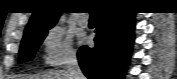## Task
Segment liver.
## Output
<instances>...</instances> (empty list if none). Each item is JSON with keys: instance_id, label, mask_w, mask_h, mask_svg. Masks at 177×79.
Returning a JSON list of instances; mask_svg holds the SVG:
<instances>
[{"instance_id": "liver-1", "label": "liver", "mask_w": 177, "mask_h": 79, "mask_svg": "<svg viewBox=\"0 0 177 79\" xmlns=\"http://www.w3.org/2000/svg\"><path fill=\"white\" fill-rule=\"evenodd\" d=\"M20 79H69L66 70H50L41 74L24 76Z\"/></svg>"}]
</instances>
